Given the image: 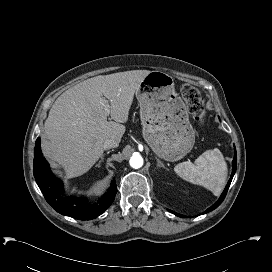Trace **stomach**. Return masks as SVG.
<instances>
[{
    "instance_id": "obj_1",
    "label": "stomach",
    "mask_w": 272,
    "mask_h": 272,
    "mask_svg": "<svg viewBox=\"0 0 272 272\" xmlns=\"http://www.w3.org/2000/svg\"><path fill=\"white\" fill-rule=\"evenodd\" d=\"M143 137L153 152L167 161H178L193 148L195 131L172 76L150 71L136 90Z\"/></svg>"
}]
</instances>
